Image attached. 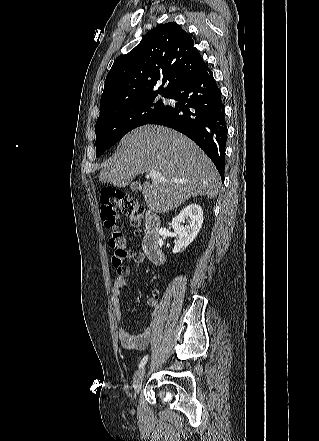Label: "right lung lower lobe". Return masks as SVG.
<instances>
[{"mask_svg": "<svg viewBox=\"0 0 319 441\" xmlns=\"http://www.w3.org/2000/svg\"><path fill=\"white\" fill-rule=\"evenodd\" d=\"M167 97L179 103L165 106L149 124L170 127L192 139L213 161L223 180L227 126L221 93L209 67L204 64Z\"/></svg>", "mask_w": 319, "mask_h": 441, "instance_id": "1", "label": "right lung lower lobe"}]
</instances>
